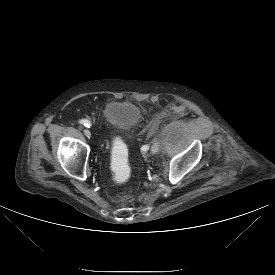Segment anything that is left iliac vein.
Masks as SVG:
<instances>
[{
	"label": "left iliac vein",
	"mask_w": 275,
	"mask_h": 275,
	"mask_svg": "<svg viewBox=\"0 0 275 275\" xmlns=\"http://www.w3.org/2000/svg\"><path fill=\"white\" fill-rule=\"evenodd\" d=\"M159 147H160L159 142H158L157 140H155V141L153 142L152 146H151V153H152V154L157 153L158 150H159Z\"/></svg>",
	"instance_id": "4c4485c4"
}]
</instances>
